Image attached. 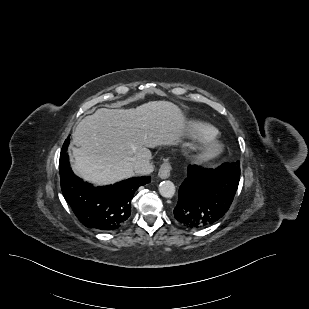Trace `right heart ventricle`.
Here are the masks:
<instances>
[{"instance_id":"obj_1","label":"right heart ventricle","mask_w":309,"mask_h":309,"mask_svg":"<svg viewBox=\"0 0 309 309\" xmlns=\"http://www.w3.org/2000/svg\"><path fill=\"white\" fill-rule=\"evenodd\" d=\"M189 128L190 132L200 139L211 138L216 134V130L212 126L199 121L190 122Z\"/></svg>"}]
</instances>
